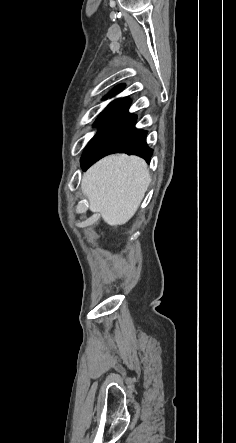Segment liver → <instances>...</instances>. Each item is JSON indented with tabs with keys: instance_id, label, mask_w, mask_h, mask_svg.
Returning a JSON list of instances; mask_svg holds the SVG:
<instances>
[{
	"instance_id": "1",
	"label": "liver",
	"mask_w": 236,
	"mask_h": 443,
	"mask_svg": "<svg viewBox=\"0 0 236 443\" xmlns=\"http://www.w3.org/2000/svg\"><path fill=\"white\" fill-rule=\"evenodd\" d=\"M151 182L146 162L137 156L110 155L89 168L81 189L92 212L110 226L123 225L135 214Z\"/></svg>"
}]
</instances>
